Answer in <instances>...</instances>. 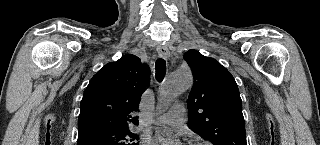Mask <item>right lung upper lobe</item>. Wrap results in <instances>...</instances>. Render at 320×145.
Wrapping results in <instances>:
<instances>
[{
  "mask_svg": "<svg viewBox=\"0 0 320 145\" xmlns=\"http://www.w3.org/2000/svg\"><path fill=\"white\" fill-rule=\"evenodd\" d=\"M150 83V70L132 54L106 64L90 80L81 104L78 134L138 125L134 113Z\"/></svg>",
  "mask_w": 320,
  "mask_h": 145,
  "instance_id": "1",
  "label": "right lung upper lobe"
}]
</instances>
